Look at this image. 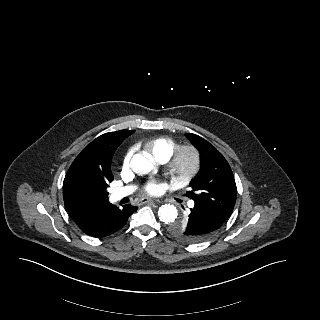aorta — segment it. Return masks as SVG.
Wrapping results in <instances>:
<instances>
[{"label": "aorta", "instance_id": "obj_1", "mask_svg": "<svg viewBox=\"0 0 320 320\" xmlns=\"http://www.w3.org/2000/svg\"><path fill=\"white\" fill-rule=\"evenodd\" d=\"M130 167L133 172L142 176L151 172L154 168V165L148 158L138 153L132 157ZM158 216L163 223L169 224L176 220L178 211L174 205L165 204L159 208Z\"/></svg>", "mask_w": 320, "mask_h": 320}]
</instances>
